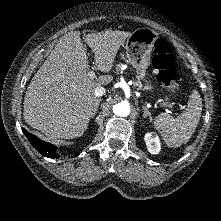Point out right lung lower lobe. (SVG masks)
Returning <instances> with one entry per match:
<instances>
[{"label": "right lung lower lobe", "mask_w": 221, "mask_h": 221, "mask_svg": "<svg viewBox=\"0 0 221 221\" xmlns=\"http://www.w3.org/2000/svg\"><path fill=\"white\" fill-rule=\"evenodd\" d=\"M23 133L30 141V143L40 152L43 156L48 158H56L59 155L56 153L57 147L42 141L41 139L37 138L35 135L29 133L27 130L22 129Z\"/></svg>", "instance_id": "98d812e1"}]
</instances>
